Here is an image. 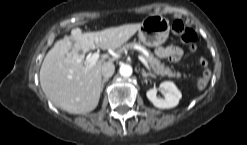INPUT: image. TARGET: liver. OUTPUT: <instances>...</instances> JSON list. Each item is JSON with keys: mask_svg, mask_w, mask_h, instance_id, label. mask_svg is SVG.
<instances>
[{"mask_svg": "<svg viewBox=\"0 0 247 145\" xmlns=\"http://www.w3.org/2000/svg\"><path fill=\"white\" fill-rule=\"evenodd\" d=\"M140 27L141 23L126 24L89 33L74 29L70 36L56 41L40 69V84L46 97L56 107L72 114L94 110L102 91L101 69L105 60L102 58L87 67L83 64L85 53L95 47L117 49Z\"/></svg>", "mask_w": 247, "mask_h": 145, "instance_id": "1", "label": "liver"}]
</instances>
